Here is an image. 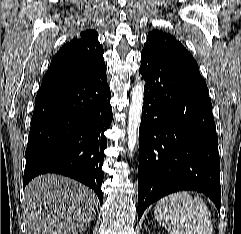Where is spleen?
Wrapping results in <instances>:
<instances>
[{"instance_id":"1","label":"spleen","mask_w":241,"mask_h":234,"mask_svg":"<svg viewBox=\"0 0 241 234\" xmlns=\"http://www.w3.org/2000/svg\"><path fill=\"white\" fill-rule=\"evenodd\" d=\"M155 219L170 234H212L211 214L199 197L181 191L160 199L155 206Z\"/></svg>"}]
</instances>
